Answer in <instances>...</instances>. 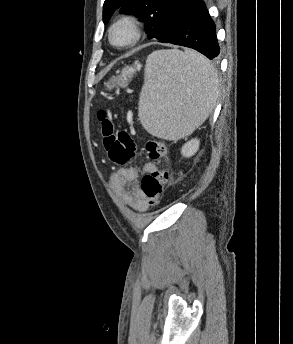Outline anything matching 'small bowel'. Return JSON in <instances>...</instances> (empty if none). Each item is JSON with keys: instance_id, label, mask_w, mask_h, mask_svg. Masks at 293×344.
<instances>
[{"instance_id": "1", "label": "small bowel", "mask_w": 293, "mask_h": 344, "mask_svg": "<svg viewBox=\"0 0 293 344\" xmlns=\"http://www.w3.org/2000/svg\"><path fill=\"white\" fill-rule=\"evenodd\" d=\"M155 169L154 164L145 162L140 167H128L117 171L116 177L121 185L120 196L126 205L139 212L146 211L147 200L139 186V174L150 173Z\"/></svg>"}]
</instances>
